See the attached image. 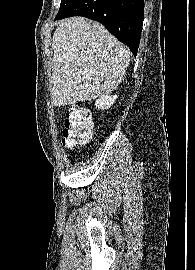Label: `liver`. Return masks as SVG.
<instances>
[{"instance_id":"obj_1","label":"liver","mask_w":195,"mask_h":270,"mask_svg":"<svg viewBox=\"0 0 195 270\" xmlns=\"http://www.w3.org/2000/svg\"><path fill=\"white\" fill-rule=\"evenodd\" d=\"M51 100L54 106L111 93L130 62L126 46L101 24L83 17L61 21L53 35Z\"/></svg>"}]
</instances>
